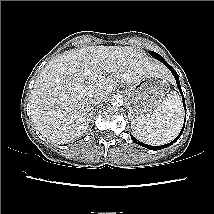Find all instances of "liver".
Here are the masks:
<instances>
[{"label":"liver","instance_id":"liver-1","mask_svg":"<svg viewBox=\"0 0 214 214\" xmlns=\"http://www.w3.org/2000/svg\"><path fill=\"white\" fill-rule=\"evenodd\" d=\"M165 67L131 46H87L51 60L35 81L31 116L36 129L51 142L68 143L88 129L93 113L89 92L114 91Z\"/></svg>","mask_w":214,"mask_h":214}]
</instances>
